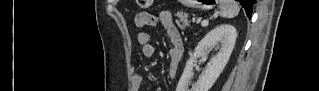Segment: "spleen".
Returning <instances> with one entry per match:
<instances>
[{
  "instance_id": "3e777b00",
  "label": "spleen",
  "mask_w": 319,
  "mask_h": 91,
  "mask_svg": "<svg viewBox=\"0 0 319 91\" xmlns=\"http://www.w3.org/2000/svg\"><path fill=\"white\" fill-rule=\"evenodd\" d=\"M219 7L220 16L224 18H234L240 10L238 3L234 0H221Z\"/></svg>"
}]
</instances>
